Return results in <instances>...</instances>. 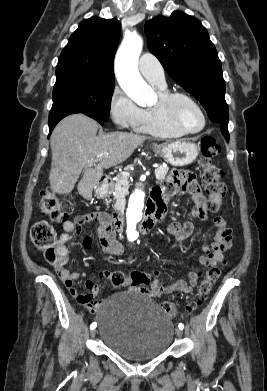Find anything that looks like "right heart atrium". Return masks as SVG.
Instances as JSON below:
<instances>
[{
    "mask_svg": "<svg viewBox=\"0 0 267 391\" xmlns=\"http://www.w3.org/2000/svg\"><path fill=\"white\" fill-rule=\"evenodd\" d=\"M141 109L120 89H115L109 104L113 122L121 129L135 128L142 118Z\"/></svg>",
    "mask_w": 267,
    "mask_h": 391,
    "instance_id": "1",
    "label": "right heart atrium"
}]
</instances>
